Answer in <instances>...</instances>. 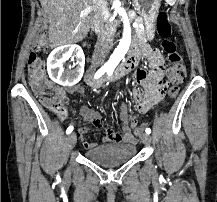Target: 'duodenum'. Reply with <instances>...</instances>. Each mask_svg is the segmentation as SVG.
Returning a JSON list of instances; mask_svg holds the SVG:
<instances>
[{"label":"duodenum","mask_w":217,"mask_h":202,"mask_svg":"<svg viewBox=\"0 0 217 202\" xmlns=\"http://www.w3.org/2000/svg\"><path fill=\"white\" fill-rule=\"evenodd\" d=\"M138 43H135L130 50L126 60L116 68L112 73H107L103 78H93L92 74H88L85 78L86 82L94 87L99 88L108 82H116L128 75L137 65L140 58Z\"/></svg>","instance_id":"1"}]
</instances>
